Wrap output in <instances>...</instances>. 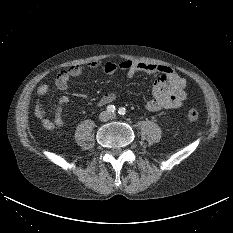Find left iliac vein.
<instances>
[{
	"label": "left iliac vein",
	"mask_w": 233,
	"mask_h": 233,
	"mask_svg": "<svg viewBox=\"0 0 233 233\" xmlns=\"http://www.w3.org/2000/svg\"><path fill=\"white\" fill-rule=\"evenodd\" d=\"M115 114H110V118L114 119L115 118Z\"/></svg>",
	"instance_id": "left-iliac-vein-1"
}]
</instances>
